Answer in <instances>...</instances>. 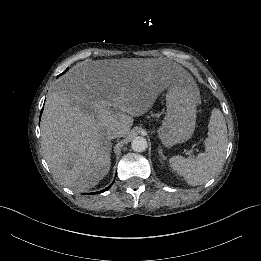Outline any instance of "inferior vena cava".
Instances as JSON below:
<instances>
[{"label":"inferior vena cava","mask_w":261,"mask_h":261,"mask_svg":"<svg viewBox=\"0 0 261 261\" xmlns=\"http://www.w3.org/2000/svg\"><path fill=\"white\" fill-rule=\"evenodd\" d=\"M108 137L110 139H115V138H118V137H122V131L119 130V129H112L108 132Z\"/></svg>","instance_id":"obj_1"}]
</instances>
